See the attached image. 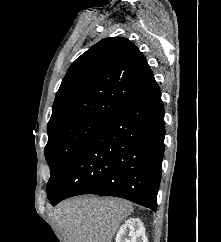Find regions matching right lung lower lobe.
Returning a JSON list of instances; mask_svg holds the SVG:
<instances>
[{
    "mask_svg": "<svg viewBox=\"0 0 221 242\" xmlns=\"http://www.w3.org/2000/svg\"><path fill=\"white\" fill-rule=\"evenodd\" d=\"M164 137V107L155 82L103 120L82 143L49 192L51 204L97 194L125 198L155 211Z\"/></svg>",
    "mask_w": 221,
    "mask_h": 242,
    "instance_id": "1",
    "label": "right lung lower lobe"
}]
</instances>
